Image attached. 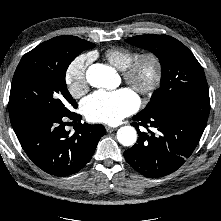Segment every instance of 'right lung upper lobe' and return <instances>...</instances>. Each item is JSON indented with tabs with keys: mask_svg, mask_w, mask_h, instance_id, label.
Segmentation results:
<instances>
[{
	"mask_svg": "<svg viewBox=\"0 0 221 221\" xmlns=\"http://www.w3.org/2000/svg\"><path fill=\"white\" fill-rule=\"evenodd\" d=\"M78 38V37H77ZM78 39H80V38H78ZM81 41H83V42H88V41H86V40H82V39H80Z\"/></svg>",
	"mask_w": 221,
	"mask_h": 221,
	"instance_id": "obj_1",
	"label": "right lung upper lobe"
}]
</instances>
